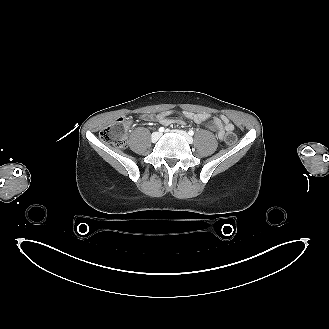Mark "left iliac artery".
<instances>
[{"label": "left iliac artery", "instance_id": "1", "mask_svg": "<svg viewBox=\"0 0 329 329\" xmlns=\"http://www.w3.org/2000/svg\"><path fill=\"white\" fill-rule=\"evenodd\" d=\"M188 133H189V135H191V136L194 135V131H193V130H190Z\"/></svg>", "mask_w": 329, "mask_h": 329}]
</instances>
